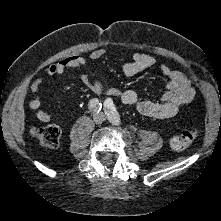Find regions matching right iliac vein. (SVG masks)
Listing matches in <instances>:
<instances>
[{
  "label": "right iliac vein",
  "mask_w": 221,
  "mask_h": 221,
  "mask_svg": "<svg viewBox=\"0 0 221 221\" xmlns=\"http://www.w3.org/2000/svg\"><path fill=\"white\" fill-rule=\"evenodd\" d=\"M93 120L96 124H100L103 121V115L102 114H96L93 117Z\"/></svg>",
  "instance_id": "obj_1"
}]
</instances>
